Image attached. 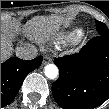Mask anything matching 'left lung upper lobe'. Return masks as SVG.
Masks as SVG:
<instances>
[{
	"label": "left lung upper lobe",
	"instance_id": "left-lung-upper-lobe-1",
	"mask_svg": "<svg viewBox=\"0 0 109 109\" xmlns=\"http://www.w3.org/2000/svg\"><path fill=\"white\" fill-rule=\"evenodd\" d=\"M96 27L99 35L109 36V29L104 23L96 20Z\"/></svg>",
	"mask_w": 109,
	"mask_h": 109
}]
</instances>
